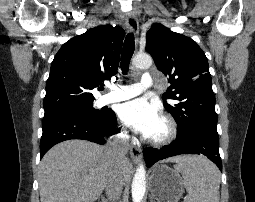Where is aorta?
I'll return each mask as SVG.
<instances>
[{"label": "aorta", "mask_w": 255, "mask_h": 202, "mask_svg": "<svg viewBox=\"0 0 255 202\" xmlns=\"http://www.w3.org/2000/svg\"><path fill=\"white\" fill-rule=\"evenodd\" d=\"M132 64L135 68L148 69L152 65V58L147 54H137ZM146 191V171L143 164H140L135 172L132 181V199L133 202H142Z\"/></svg>", "instance_id": "obj_1"}]
</instances>
